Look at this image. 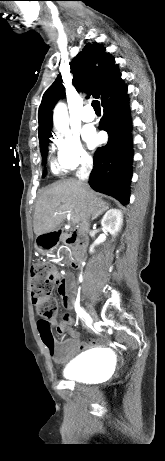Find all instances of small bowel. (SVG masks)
Returning a JSON list of instances; mask_svg holds the SVG:
<instances>
[{
  "label": "small bowel",
  "instance_id": "1",
  "mask_svg": "<svg viewBox=\"0 0 165 461\" xmlns=\"http://www.w3.org/2000/svg\"><path fill=\"white\" fill-rule=\"evenodd\" d=\"M66 283V277L58 278V298L62 299L63 306L66 309H69L71 307V301ZM73 322L74 319L69 313H65L63 315L62 321H59L56 316L50 319L51 326L55 328L59 334L67 333L69 335V337L63 341H55L53 348H50L44 344L48 353L56 362L66 360L74 356L77 352L87 350L98 343L96 339H89L87 341L81 342L79 333L72 328Z\"/></svg>",
  "mask_w": 165,
  "mask_h": 461
}]
</instances>
